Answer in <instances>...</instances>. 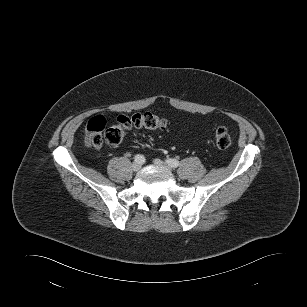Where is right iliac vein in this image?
<instances>
[{
    "instance_id": "63e3f726",
    "label": "right iliac vein",
    "mask_w": 307,
    "mask_h": 307,
    "mask_svg": "<svg viewBox=\"0 0 307 307\" xmlns=\"http://www.w3.org/2000/svg\"><path fill=\"white\" fill-rule=\"evenodd\" d=\"M132 169H133V171H135V172L139 171V170L141 169V163H139V162H134V163L132 164Z\"/></svg>"
}]
</instances>
